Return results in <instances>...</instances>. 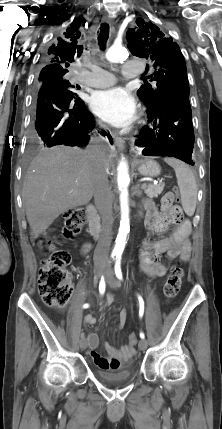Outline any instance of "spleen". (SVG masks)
<instances>
[{
  "label": "spleen",
  "instance_id": "obj_1",
  "mask_svg": "<svg viewBox=\"0 0 222 429\" xmlns=\"http://www.w3.org/2000/svg\"><path fill=\"white\" fill-rule=\"evenodd\" d=\"M164 161L174 169L182 207L188 216H192L197 204V184L192 170L187 164L174 158H165Z\"/></svg>",
  "mask_w": 222,
  "mask_h": 429
}]
</instances>
